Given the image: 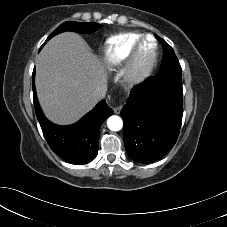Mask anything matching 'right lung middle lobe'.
Segmentation results:
<instances>
[{
  "mask_svg": "<svg viewBox=\"0 0 227 227\" xmlns=\"http://www.w3.org/2000/svg\"><path fill=\"white\" fill-rule=\"evenodd\" d=\"M98 27H99V24H97V23L71 22V21L64 22L55 31H53L49 35V37L47 38L45 43L49 39H51L53 36H55V35H57L59 33H62L64 31H75V32H79V33H91L93 31H95Z\"/></svg>",
  "mask_w": 227,
  "mask_h": 227,
  "instance_id": "1",
  "label": "right lung middle lobe"
}]
</instances>
